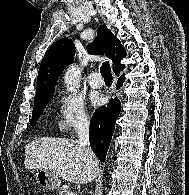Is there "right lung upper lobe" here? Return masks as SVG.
Listing matches in <instances>:
<instances>
[{
  "instance_id": "1",
  "label": "right lung upper lobe",
  "mask_w": 189,
  "mask_h": 195,
  "mask_svg": "<svg viewBox=\"0 0 189 195\" xmlns=\"http://www.w3.org/2000/svg\"><path fill=\"white\" fill-rule=\"evenodd\" d=\"M89 54L106 55L113 61V71L119 74L124 69L120 61L126 57L121 42L106 25L99 26L97 37L87 46ZM75 45L72 40L63 38L47 50L40 65L37 77V90L34 103L52 97L58 77L66 66L74 60Z\"/></svg>"
}]
</instances>
